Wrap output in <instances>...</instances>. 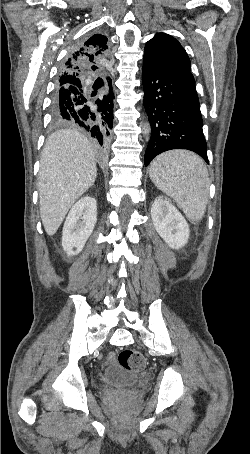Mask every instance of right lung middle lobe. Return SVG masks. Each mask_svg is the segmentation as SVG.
Masks as SVG:
<instances>
[{
  "label": "right lung middle lobe",
  "instance_id": "obj_1",
  "mask_svg": "<svg viewBox=\"0 0 250 454\" xmlns=\"http://www.w3.org/2000/svg\"><path fill=\"white\" fill-rule=\"evenodd\" d=\"M77 87H79V86H77ZM67 88H68V87H67ZM58 89H60V88L57 86V90H58ZM63 89H64V88H63ZM63 89H62V90H63ZM57 90H56V91H57ZM55 96H56V94H55ZM55 96H54V98H55ZM53 122H54L55 124H62L61 121H60L59 119H57V118H53Z\"/></svg>",
  "mask_w": 250,
  "mask_h": 454
}]
</instances>
